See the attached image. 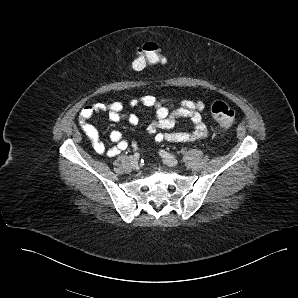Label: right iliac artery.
I'll use <instances>...</instances> for the list:
<instances>
[{
    "label": "right iliac artery",
    "instance_id": "1",
    "mask_svg": "<svg viewBox=\"0 0 298 298\" xmlns=\"http://www.w3.org/2000/svg\"><path fill=\"white\" fill-rule=\"evenodd\" d=\"M134 156L138 158L139 157V154L138 153H135Z\"/></svg>",
    "mask_w": 298,
    "mask_h": 298
}]
</instances>
